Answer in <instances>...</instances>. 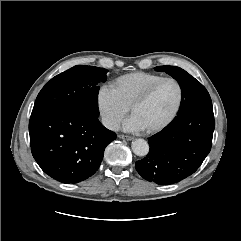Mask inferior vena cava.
Wrapping results in <instances>:
<instances>
[{
    "instance_id": "602c4592",
    "label": "inferior vena cava",
    "mask_w": 241,
    "mask_h": 241,
    "mask_svg": "<svg viewBox=\"0 0 241 241\" xmlns=\"http://www.w3.org/2000/svg\"><path fill=\"white\" fill-rule=\"evenodd\" d=\"M102 124L113 131H118L120 129V123L118 120L110 117H103L102 118Z\"/></svg>"
}]
</instances>
